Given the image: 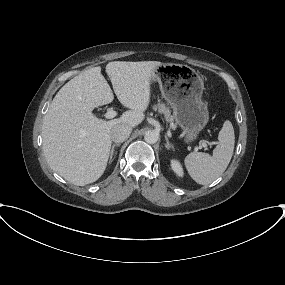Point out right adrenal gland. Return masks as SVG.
<instances>
[{
	"mask_svg": "<svg viewBox=\"0 0 285 285\" xmlns=\"http://www.w3.org/2000/svg\"><path fill=\"white\" fill-rule=\"evenodd\" d=\"M121 144L120 143H116V144H113L112 145V147H111V151H110V162L112 161V159H113V155H114V149H115V147H118V146H120Z\"/></svg>",
	"mask_w": 285,
	"mask_h": 285,
	"instance_id": "2a0ac1e0",
	"label": "right adrenal gland"
}]
</instances>
